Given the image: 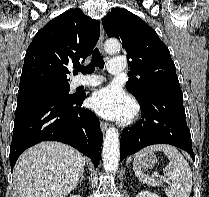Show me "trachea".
I'll return each mask as SVG.
<instances>
[{
    "instance_id": "trachea-1",
    "label": "trachea",
    "mask_w": 209,
    "mask_h": 197,
    "mask_svg": "<svg viewBox=\"0 0 209 197\" xmlns=\"http://www.w3.org/2000/svg\"><path fill=\"white\" fill-rule=\"evenodd\" d=\"M95 67H99L100 69L104 68V60L97 48L93 51V59L91 63L87 66H77L76 69L83 74H92L95 71Z\"/></svg>"
}]
</instances>
